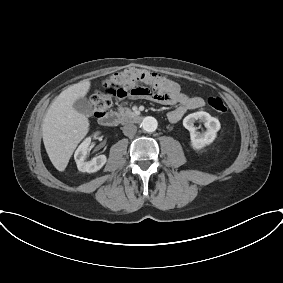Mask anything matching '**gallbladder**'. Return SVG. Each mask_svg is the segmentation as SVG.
I'll return each mask as SVG.
<instances>
[{"instance_id": "1", "label": "gallbladder", "mask_w": 283, "mask_h": 283, "mask_svg": "<svg viewBox=\"0 0 283 283\" xmlns=\"http://www.w3.org/2000/svg\"><path fill=\"white\" fill-rule=\"evenodd\" d=\"M73 108L86 116H91L93 113V107L92 104L90 103V101L84 97L79 98L74 104H73Z\"/></svg>"}]
</instances>
